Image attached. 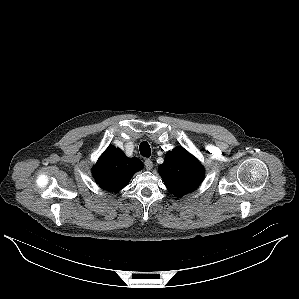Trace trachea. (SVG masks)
Listing matches in <instances>:
<instances>
[{
  "instance_id": "obj_1",
  "label": "trachea",
  "mask_w": 299,
  "mask_h": 299,
  "mask_svg": "<svg viewBox=\"0 0 299 299\" xmlns=\"http://www.w3.org/2000/svg\"><path fill=\"white\" fill-rule=\"evenodd\" d=\"M139 150H140V153L142 156L150 157L151 148H150V145L148 144V142H146V141L141 142V144L139 146Z\"/></svg>"
}]
</instances>
